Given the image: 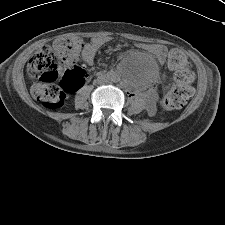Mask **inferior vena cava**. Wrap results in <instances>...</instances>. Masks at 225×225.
<instances>
[{"mask_svg":"<svg viewBox=\"0 0 225 225\" xmlns=\"http://www.w3.org/2000/svg\"><path fill=\"white\" fill-rule=\"evenodd\" d=\"M107 82V79L105 77H98L97 83L98 84H105Z\"/></svg>","mask_w":225,"mask_h":225,"instance_id":"obj_1","label":"inferior vena cava"}]
</instances>
